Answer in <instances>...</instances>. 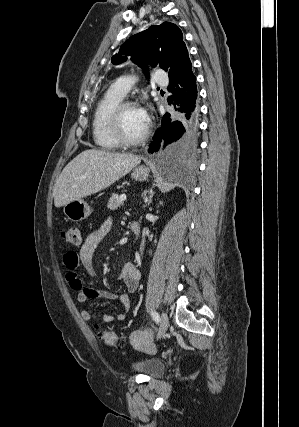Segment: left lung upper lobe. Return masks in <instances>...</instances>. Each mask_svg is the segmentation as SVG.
Masks as SVG:
<instances>
[{"label":"left lung upper lobe","mask_w":299,"mask_h":427,"mask_svg":"<svg viewBox=\"0 0 299 427\" xmlns=\"http://www.w3.org/2000/svg\"><path fill=\"white\" fill-rule=\"evenodd\" d=\"M182 42L183 35L178 26L164 22L130 37L111 61L113 64H119L126 61L128 56H132V61L144 69H147L148 64L156 66L159 63L160 67L167 71Z\"/></svg>","instance_id":"left-lung-upper-lobe-1"}]
</instances>
